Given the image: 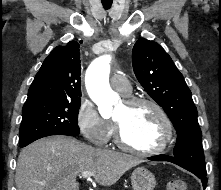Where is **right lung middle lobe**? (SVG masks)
Returning <instances> with one entry per match:
<instances>
[{
  "instance_id": "dd1d6c3e",
  "label": "right lung middle lobe",
  "mask_w": 221,
  "mask_h": 190,
  "mask_svg": "<svg viewBox=\"0 0 221 190\" xmlns=\"http://www.w3.org/2000/svg\"><path fill=\"white\" fill-rule=\"evenodd\" d=\"M79 100L46 101L24 105L19 130V145L24 147L51 135L78 136Z\"/></svg>"
}]
</instances>
